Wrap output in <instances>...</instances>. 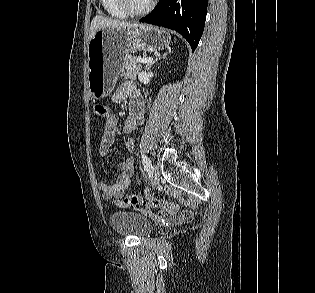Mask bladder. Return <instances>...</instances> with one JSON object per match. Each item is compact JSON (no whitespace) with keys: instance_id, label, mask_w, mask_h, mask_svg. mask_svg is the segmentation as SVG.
<instances>
[{"instance_id":"31cf9c89","label":"bladder","mask_w":315,"mask_h":293,"mask_svg":"<svg viewBox=\"0 0 315 293\" xmlns=\"http://www.w3.org/2000/svg\"><path fill=\"white\" fill-rule=\"evenodd\" d=\"M113 229L122 236L144 237L153 230L152 223L134 211H116L110 216Z\"/></svg>"}]
</instances>
